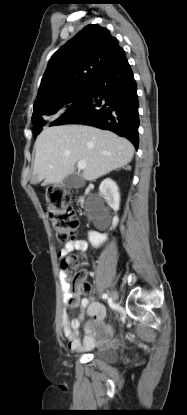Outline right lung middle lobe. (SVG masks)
I'll use <instances>...</instances> for the list:
<instances>
[{
	"instance_id": "right-lung-middle-lobe-1",
	"label": "right lung middle lobe",
	"mask_w": 187,
	"mask_h": 415,
	"mask_svg": "<svg viewBox=\"0 0 187 415\" xmlns=\"http://www.w3.org/2000/svg\"><path fill=\"white\" fill-rule=\"evenodd\" d=\"M91 92V83L73 88L66 92L61 99L46 106L34 108L32 121L34 123L33 133L39 134L42 126L46 124V117L53 116L59 112L70 108L75 102L87 96ZM50 126H52L50 124Z\"/></svg>"
}]
</instances>
